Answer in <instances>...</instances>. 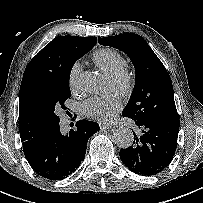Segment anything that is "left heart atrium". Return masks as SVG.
<instances>
[{
    "label": "left heart atrium",
    "mask_w": 203,
    "mask_h": 203,
    "mask_svg": "<svg viewBox=\"0 0 203 203\" xmlns=\"http://www.w3.org/2000/svg\"><path fill=\"white\" fill-rule=\"evenodd\" d=\"M120 102L116 99L91 98L84 102L82 111L84 115L99 120H110L120 109Z\"/></svg>",
    "instance_id": "obj_1"
}]
</instances>
